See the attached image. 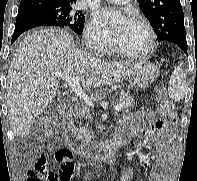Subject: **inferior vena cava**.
Segmentation results:
<instances>
[{"instance_id":"602c4592","label":"inferior vena cava","mask_w":197,"mask_h":181,"mask_svg":"<svg viewBox=\"0 0 197 181\" xmlns=\"http://www.w3.org/2000/svg\"><path fill=\"white\" fill-rule=\"evenodd\" d=\"M87 46L90 48V49H93V43L91 40H87Z\"/></svg>"}]
</instances>
